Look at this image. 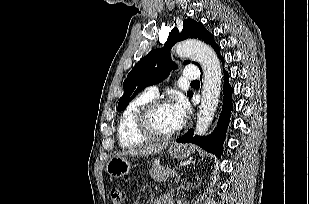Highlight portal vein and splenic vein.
<instances>
[{"label": "portal vein and splenic vein", "mask_w": 309, "mask_h": 204, "mask_svg": "<svg viewBox=\"0 0 309 204\" xmlns=\"http://www.w3.org/2000/svg\"><path fill=\"white\" fill-rule=\"evenodd\" d=\"M170 175H171V176H175V175H176V171H175V170L171 171V172H170Z\"/></svg>", "instance_id": "1"}]
</instances>
